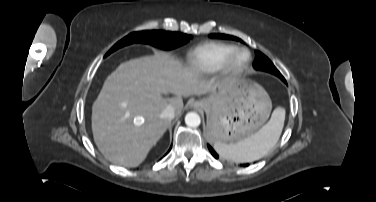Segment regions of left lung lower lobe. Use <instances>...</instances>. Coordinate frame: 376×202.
<instances>
[{
  "instance_id": "1",
  "label": "left lung lower lobe",
  "mask_w": 376,
  "mask_h": 202,
  "mask_svg": "<svg viewBox=\"0 0 376 202\" xmlns=\"http://www.w3.org/2000/svg\"><path fill=\"white\" fill-rule=\"evenodd\" d=\"M282 81H284L285 83H286V81H285V79L283 78L282 79ZM208 149H209V151L211 152V154L213 155V157H215L216 159L218 158V155H217V153L213 150V148L210 146V145H208ZM249 164H243V166L244 167H246V166H248Z\"/></svg>"
}]
</instances>
